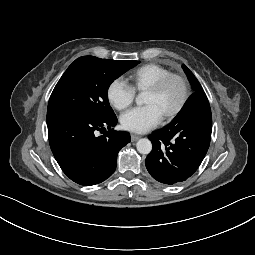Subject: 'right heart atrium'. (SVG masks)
Returning a JSON list of instances; mask_svg holds the SVG:
<instances>
[{"mask_svg": "<svg viewBox=\"0 0 255 255\" xmlns=\"http://www.w3.org/2000/svg\"><path fill=\"white\" fill-rule=\"evenodd\" d=\"M109 103L122 111L129 107L135 98V90L122 78H115L110 82L106 91Z\"/></svg>", "mask_w": 255, "mask_h": 255, "instance_id": "1", "label": "right heart atrium"}]
</instances>
